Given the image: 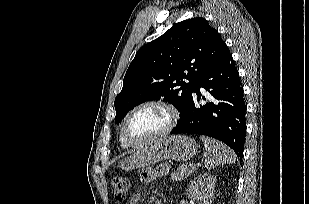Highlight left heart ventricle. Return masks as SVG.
<instances>
[{"instance_id": "obj_1", "label": "left heart ventricle", "mask_w": 309, "mask_h": 204, "mask_svg": "<svg viewBox=\"0 0 309 204\" xmlns=\"http://www.w3.org/2000/svg\"><path fill=\"white\" fill-rule=\"evenodd\" d=\"M168 122L167 112L159 107H145L135 112L128 120L127 135L142 140L160 132Z\"/></svg>"}]
</instances>
